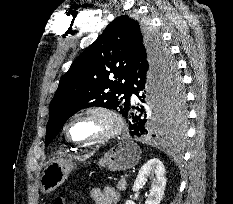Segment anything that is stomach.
<instances>
[{"label": "stomach", "instance_id": "obj_1", "mask_svg": "<svg viewBox=\"0 0 233 204\" xmlns=\"http://www.w3.org/2000/svg\"><path fill=\"white\" fill-rule=\"evenodd\" d=\"M141 158V150L132 141L124 140L107 151L99 160L98 165L110 171H125L136 166ZM74 169L71 162L58 159L47 164L40 178V189L42 193L54 191L67 179L69 173Z\"/></svg>", "mask_w": 233, "mask_h": 204}]
</instances>
